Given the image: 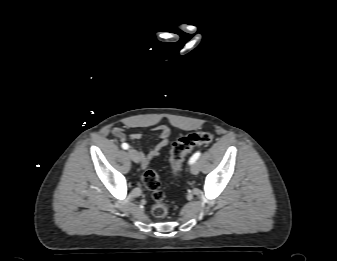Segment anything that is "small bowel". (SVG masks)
Here are the masks:
<instances>
[{
    "mask_svg": "<svg viewBox=\"0 0 337 261\" xmlns=\"http://www.w3.org/2000/svg\"><path fill=\"white\" fill-rule=\"evenodd\" d=\"M155 130L156 137L159 141L146 153L142 150L138 151L140 155V162L143 167L148 166L152 160L157 158L160 155L161 150L169 143L170 129L166 125H160ZM112 134L120 141H124L126 139L125 134L120 128H114ZM141 137L142 135L140 133L135 132L129 136V139L134 143H139Z\"/></svg>",
    "mask_w": 337,
    "mask_h": 261,
    "instance_id": "small-bowel-1",
    "label": "small bowel"
}]
</instances>
